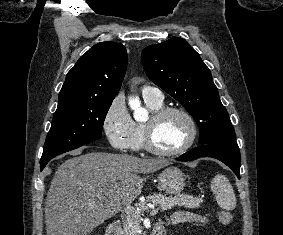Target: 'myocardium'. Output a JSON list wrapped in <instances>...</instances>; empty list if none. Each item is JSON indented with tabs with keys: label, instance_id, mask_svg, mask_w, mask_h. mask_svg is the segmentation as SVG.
I'll list each match as a JSON object with an SVG mask.
<instances>
[{
	"label": "myocardium",
	"instance_id": "obj_1",
	"mask_svg": "<svg viewBox=\"0 0 283 235\" xmlns=\"http://www.w3.org/2000/svg\"><path fill=\"white\" fill-rule=\"evenodd\" d=\"M170 113H178L181 114L188 122L189 125V136L186 142L180 146L177 149L171 150V151H164L158 149L154 143H153V129L154 126L162 120L166 115ZM198 137V126L197 123L192 116V114L178 106H167V107H162L159 110L153 112L151 115L150 119L144 124L143 127V148L148 151L149 153L160 156V157H174L181 155L185 152H187L194 143L196 142Z\"/></svg>",
	"mask_w": 283,
	"mask_h": 235
}]
</instances>
